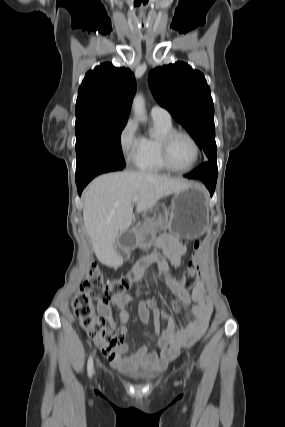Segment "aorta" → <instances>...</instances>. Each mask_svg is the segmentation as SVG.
Segmentation results:
<instances>
[{
  "instance_id": "aorta-1",
  "label": "aorta",
  "mask_w": 285,
  "mask_h": 427,
  "mask_svg": "<svg viewBox=\"0 0 285 427\" xmlns=\"http://www.w3.org/2000/svg\"><path fill=\"white\" fill-rule=\"evenodd\" d=\"M132 108L134 114L142 122L147 121V115L145 110V100L142 95L138 94L134 97Z\"/></svg>"
}]
</instances>
